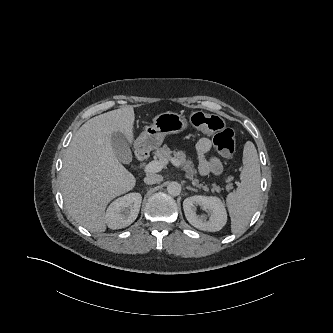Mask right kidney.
<instances>
[{
	"label": "right kidney",
	"instance_id": "ca27d5eb",
	"mask_svg": "<svg viewBox=\"0 0 333 333\" xmlns=\"http://www.w3.org/2000/svg\"><path fill=\"white\" fill-rule=\"evenodd\" d=\"M141 201V194L129 193L112 202L105 214L108 227L121 229L132 224L138 216Z\"/></svg>",
	"mask_w": 333,
	"mask_h": 333
}]
</instances>
